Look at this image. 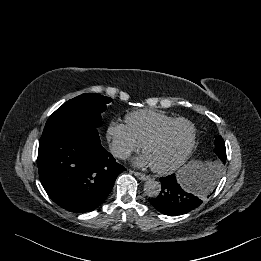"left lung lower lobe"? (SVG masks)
<instances>
[{
	"instance_id": "left-lung-lower-lobe-1",
	"label": "left lung lower lobe",
	"mask_w": 261,
	"mask_h": 261,
	"mask_svg": "<svg viewBox=\"0 0 261 261\" xmlns=\"http://www.w3.org/2000/svg\"><path fill=\"white\" fill-rule=\"evenodd\" d=\"M222 163H215L201 168L195 175L191 186L181 184L180 175L160 178L162 190L157 198L149 200L161 213L176 216L187 213L203 203L211 195L219 176Z\"/></svg>"
}]
</instances>
